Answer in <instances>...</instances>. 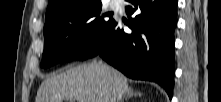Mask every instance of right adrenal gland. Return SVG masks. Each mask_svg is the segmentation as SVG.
Instances as JSON below:
<instances>
[{
	"label": "right adrenal gland",
	"mask_w": 221,
	"mask_h": 102,
	"mask_svg": "<svg viewBox=\"0 0 221 102\" xmlns=\"http://www.w3.org/2000/svg\"><path fill=\"white\" fill-rule=\"evenodd\" d=\"M136 96H141V93L140 92H134V90L130 89L126 93L125 101H127L129 98L136 97ZM122 102H124V101H122Z\"/></svg>",
	"instance_id": "1"
}]
</instances>
